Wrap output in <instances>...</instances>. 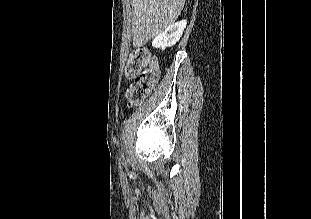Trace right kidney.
<instances>
[{
    "instance_id": "right-kidney-1",
    "label": "right kidney",
    "mask_w": 311,
    "mask_h": 219,
    "mask_svg": "<svg viewBox=\"0 0 311 219\" xmlns=\"http://www.w3.org/2000/svg\"><path fill=\"white\" fill-rule=\"evenodd\" d=\"M186 25V20L170 25L164 32L154 38L152 46L154 48H161L162 50H165L167 47L175 45L182 36Z\"/></svg>"
}]
</instances>
